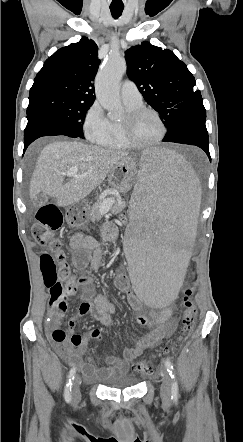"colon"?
<instances>
[{"instance_id": "obj_1", "label": "colon", "mask_w": 243, "mask_h": 442, "mask_svg": "<svg viewBox=\"0 0 243 442\" xmlns=\"http://www.w3.org/2000/svg\"><path fill=\"white\" fill-rule=\"evenodd\" d=\"M37 223L32 228L34 240L41 246L46 247L47 252L41 255L40 266L43 282L50 294L51 307L67 305V300L74 296L82 284V280H77L67 262L66 255L61 249V242L56 237V232L61 228L63 215L58 207L52 203H45L37 213ZM117 222H126V213L116 214ZM195 269L186 273L185 283L190 285L195 276ZM195 289L189 287L182 290L183 312L180 318L181 334L186 333L192 326L197 308L194 300ZM54 341H64L67 339L66 333L57 329L52 334ZM175 345L166 346L162 349V354H169ZM132 371L137 374H148L154 371L155 365L151 359H135Z\"/></svg>"}]
</instances>
